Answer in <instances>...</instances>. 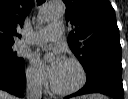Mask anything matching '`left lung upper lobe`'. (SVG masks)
<instances>
[{"instance_id":"1","label":"left lung upper lobe","mask_w":128,"mask_h":99,"mask_svg":"<svg viewBox=\"0 0 128 99\" xmlns=\"http://www.w3.org/2000/svg\"><path fill=\"white\" fill-rule=\"evenodd\" d=\"M66 21L75 26L68 45L83 68L97 55L121 57L119 29L109 0H63Z\"/></svg>"}]
</instances>
